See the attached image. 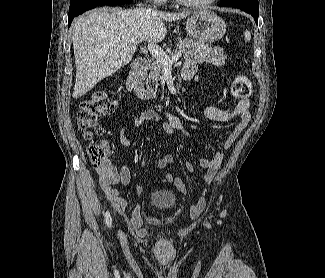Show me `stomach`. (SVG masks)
<instances>
[{
    "label": "stomach",
    "instance_id": "obj_1",
    "mask_svg": "<svg viewBox=\"0 0 325 278\" xmlns=\"http://www.w3.org/2000/svg\"><path fill=\"white\" fill-rule=\"evenodd\" d=\"M189 37L202 43H213L221 39L226 32L225 21L209 10L195 11L186 21Z\"/></svg>",
    "mask_w": 325,
    "mask_h": 278
}]
</instances>
